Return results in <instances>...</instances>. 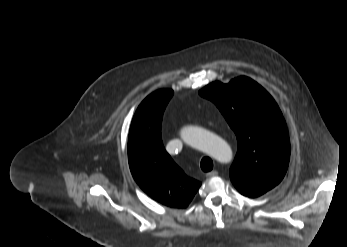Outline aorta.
<instances>
[{"label":"aorta","instance_id":"obj_1","mask_svg":"<svg viewBox=\"0 0 347 247\" xmlns=\"http://www.w3.org/2000/svg\"><path fill=\"white\" fill-rule=\"evenodd\" d=\"M182 140L216 160L226 163L232 158L231 147L219 136L197 126H185L180 131Z\"/></svg>","mask_w":347,"mask_h":247}]
</instances>
